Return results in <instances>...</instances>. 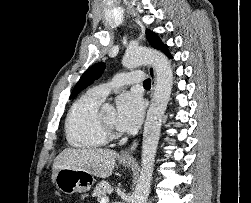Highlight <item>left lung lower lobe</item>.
Returning a JSON list of instances; mask_svg holds the SVG:
<instances>
[{"label":"left lung lower lobe","mask_w":251,"mask_h":203,"mask_svg":"<svg viewBox=\"0 0 251 203\" xmlns=\"http://www.w3.org/2000/svg\"><path fill=\"white\" fill-rule=\"evenodd\" d=\"M169 58H172V56L170 55L169 51L167 50V47L165 46V48L162 50Z\"/></svg>","instance_id":"0a47b994"}]
</instances>
